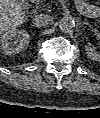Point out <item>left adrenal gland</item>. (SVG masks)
Masks as SVG:
<instances>
[{
    "instance_id": "left-adrenal-gland-1",
    "label": "left adrenal gland",
    "mask_w": 100,
    "mask_h": 118,
    "mask_svg": "<svg viewBox=\"0 0 100 118\" xmlns=\"http://www.w3.org/2000/svg\"><path fill=\"white\" fill-rule=\"evenodd\" d=\"M81 24H82V25H88L89 23H88V22L83 21V22H81Z\"/></svg>"
}]
</instances>
